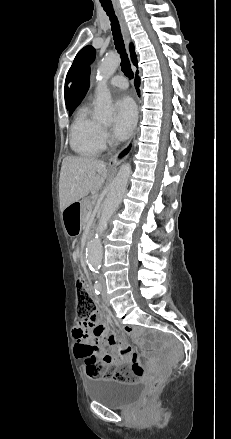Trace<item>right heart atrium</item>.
I'll list each match as a JSON object with an SVG mask.
<instances>
[{"instance_id":"d8ad5b80","label":"right heart atrium","mask_w":231,"mask_h":439,"mask_svg":"<svg viewBox=\"0 0 231 439\" xmlns=\"http://www.w3.org/2000/svg\"><path fill=\"white\" fill-rule=\"evenodd\" d=\"M100 141H101V144H102L103 147H105L106 144H107L108 141H109V135H108V132H107V130L104 129V128H101V130H100Z\"/></svg>"}]
</instances>
